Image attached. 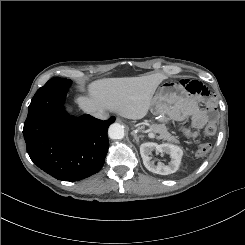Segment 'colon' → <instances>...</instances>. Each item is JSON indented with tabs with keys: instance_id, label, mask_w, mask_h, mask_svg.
I'll use <instances>...</instances> for the list:
<instances>
[{
	"instance_id": "colon-1",
	"label": "colon",
	"mask_w": 245,
	"mask_h": 245,
	"mask_svg": "<svg viewBox=\"0 0 245 245\" xmlns=\"http://www.w3.org/2000/svg\"><path fill=\"white\" fill-rule=\"evenodd\" d=\"M216 130H217L216 125L213 123H208L204 128V132L207 136L214 135L216 133ZM185 134L190 141H194L196 137V134L194 132L190 130H186ZM209 150H210V145L208 143L200 144L196 149V156L203 157L209 152Z\"/></svg>"
}]
</instances>
